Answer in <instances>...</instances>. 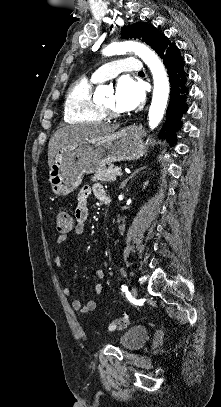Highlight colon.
<instances>
[{
	"mask_svg": "<svg viewBox=\"0 0 221 407\" xmlns=\"http://www.w3.org/2000/svg\"><path fill=\"white\" fill-rule=\"evenodd\" d=\"M73 227V220L69 213L61 211L56 217V230L60 234H67ZM128 325V317L126 315L113 319L107 326L110 332L120 330Z\"/></svg>",
	"mask_w": 221,
	"mask_h": 407,
	"instance_id": "colon-1",
	"label": "colon"
}]
</instances>
